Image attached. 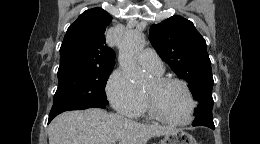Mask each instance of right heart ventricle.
I'll list each match as a JSON object with an SVG mask.
<instances>
[{"mask_svg": "<svg viewBox=\"0 0 260 144\" xmlns=\"http://www.w3.org/2000/svg\"><path fill=\"white\" fill-rule=\"evenodd\" d=\"M154 75L158 76L159 74L158 73H153ZM139 94L141 96V104H140V107L138 108L137 112L132 115L133 117H138V116H141L145 113L146 111V105H145V101H144V97H143V93L141 91H139Z\"/></svg>", "mask_w": 260, "mask_h": 144, "instance_id": "1", "label": "right heart ventricle"}]
</instances>
